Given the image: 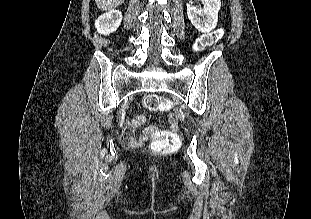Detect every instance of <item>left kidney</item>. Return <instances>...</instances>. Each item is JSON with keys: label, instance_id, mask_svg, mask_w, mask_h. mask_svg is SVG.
<instances>
[{"label": "left kidney", "instance_id": "1", "mask_svg": "<svg viewBox=\"0 0 311 219\" xmlns=\"http://www.w3.org/2000/svg\"><path fill=\"white\" fill-rule=\"evenodd\" d=\"M202 4L203 8L187 3V15L196 29L202 33H209L217 25L221 1L202 0Z\"/></svg>", "mask_w": 311, "mask_h": 219}]
</instances>
